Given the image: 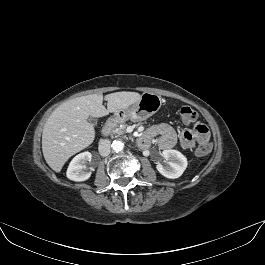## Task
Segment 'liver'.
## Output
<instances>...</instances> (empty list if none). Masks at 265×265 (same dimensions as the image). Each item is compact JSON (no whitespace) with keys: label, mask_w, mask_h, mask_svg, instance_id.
Listing matches in <instances>:
<instances>
[{"label":"liver","mask_w":265,"mask_h":265,"mask_svg":"<svg viewBox=\"0 0 265 265\" xmlns=\"http://www.w3.org/2000/svg\"><path fill=\"white\" fill-rule=\"evenodd\" d=\"M137 92H115L105 96L91 94L68 100L57 107L47 119L42 132V151L47 164L60 172L67 160L88 147L95 138V130L87 119L103 117L136 103Z\"/></svg>","instance_id":"1"}]
</instances>
